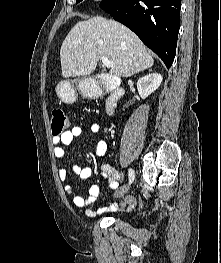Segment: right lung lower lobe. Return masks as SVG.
<instances>
[{"label":"right lung lower lobe","mask_w":221,"mask_h":263,"mask_svg":"<svg viewBox=\"0 0 221 263\" xmlns=\"http://www.w3.org/2000/svg\"><path fill=\"white\" fill-rule=\"evenodd\" d=\"M100 8L131 29L169 69L180 24L181 0H103Z\"/></svg>","instance_id":"right-lung-lower-lobe-1"}]
</instances>
